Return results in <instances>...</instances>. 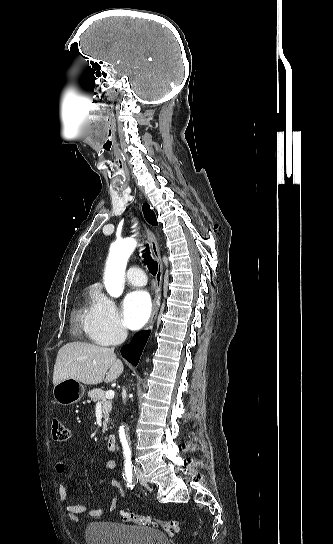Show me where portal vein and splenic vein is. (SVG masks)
I'll list each match as a JSON object with an SVG mask.
<instances>
[{
    "label": "portal vein and splenic vein",
    "instance_id": "obj_1",
    "mask_svg": "<svg viewBox=\"0 0 333 544\" xmlns=\"http://www.w3.org/2000/svg\"><path fill=\"white\" fill-rule=\"evenodd\" d=\"M105 395H106V398L112 399V398H114L115 393H114L113 390H109V391L106 392Z\"/></svg>",
    "mask_w": 333,
    "mask_h": 544
}]
</instances>
